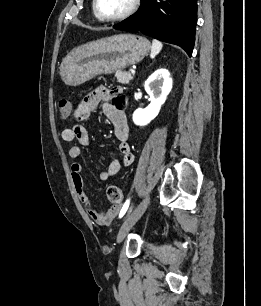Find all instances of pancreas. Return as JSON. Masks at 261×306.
<instances>
[{
  "label": "pancreas",
  "instance_id": "obj_1",
  "mask_svg": "<svg viewBox=\"0 0 261 306\" xmlns=\"http://www.w3.org/2000/svg\"><path fill=\"white\" fill-rule=\"evenodd\" d=\"M115 77L121 84H128L133 79V76L126 71H117Z\"/></svg>",
  "mask_w": 261,
  "mask_h": 306
}]
</instances>
